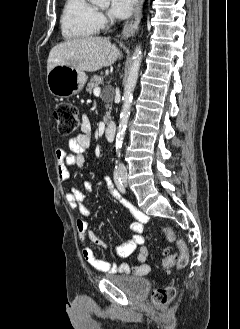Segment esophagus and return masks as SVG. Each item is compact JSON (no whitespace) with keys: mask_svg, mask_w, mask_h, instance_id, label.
I'll return each mask as SVG.
<instances>
[{"mask_svg":"<svg viewBox=\"0 0 240 329\" xmlns=\"http://www.w3.org/2000/svg\"><path fill=\"white\" fill-rule=\"evenodd\" d=\"M143 0H136L131 19L127 22L122 31L123 38H128L135 31L140 19L142 12Z\"/></svg>","mask_w":240,"mask_h":329,"instance_id":"esophagus-1","label":"esophagus"}]
</instances>
